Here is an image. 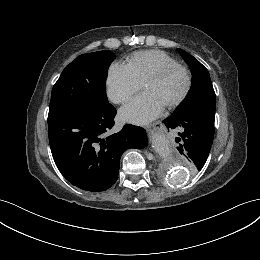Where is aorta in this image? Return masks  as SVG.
Instances as JSON below:
<instances>
[{"mask_svg":"<svg viewBox=\"0 0 260 260\" xmlns=\"http://www.w3.org/2000/svg\"><path fill=\"white\" fill-rule=\"evenodd\" d=\"M153 147L161 152L165 157V161H170V169L167 172L166 179L171 184H180L190 177V172L186 167L184 158L174 151L169 140L163 136L154 137L152 140Z\"/></svg>","mask_w":260,"mask_h":260,"instance_id":"obj_1","label":"aorta"}]
</instances>
